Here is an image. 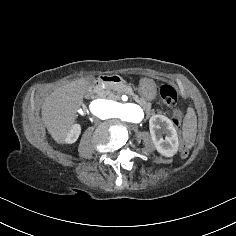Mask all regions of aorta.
Masks as SVG:
<instances>
[{"mask_svg": "<svg viewBox=\"0 0 236 236\" xmlns=\"http://www.w3.org/2000/svg\"><path fill=\"white\" fill-rule=\"evenodd\" d=\"M90 112L103 120L118 118L121 121L140 123L144 118L143 109L132 103H118L110 100L96 99L89 105Z\"/></svg>", "mask_w": 236, "mask_h": 236, "instance_id": "762f6f07", "label": "aorta"}]
</instances>
